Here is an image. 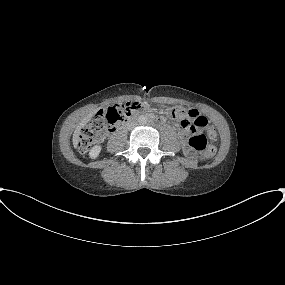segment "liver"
I'll return each mask as SVG.
<instances>
[{"label":"liver","instance_id":"1","mask_svg":"<svg viewBox=\"0 0 285 285\" xmlns=\"http://www.w3.org/2000/svg\"><path fill=\"white\" fill-rule=\"evenodd\" d=\"M98 109H95L93 112L89 113L77 126L76 130L74 131V134H73V145H74V148H77L78 146V143L80 141V133H81V129L90 121V119L92 118V116L95 114V112L97 111Z\"/></svg>","mask_w":285,"mask_h":285}]
</instances>
